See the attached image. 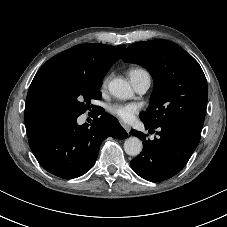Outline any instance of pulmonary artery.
<instances>
[{"instance_id":"pulmonary-artery-1","label":"pulmonary artery","mask_w":227,"mask_h":227,"mask_svg":"<svg viewBox=\"0 0 227 227\" xmlns=\"http://www.w3.org/2000/svg\"><path fill=\"white\" fill-rule=\"evenodd\" d=\"M131 81L135 90L140 94L145 93L151 85V78L148 73L131 77Z\"/></svg>"}]
</instances>
